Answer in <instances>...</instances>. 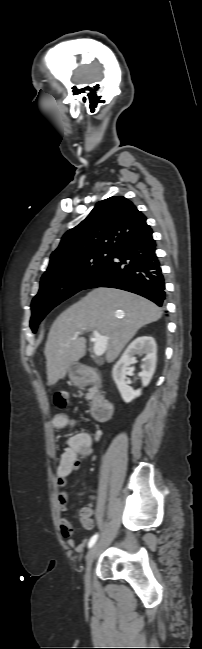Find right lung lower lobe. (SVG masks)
<instances>
[{"label": "right lung lower lobe", "instance_id": "obj_1", "mask_svg": "<svg viewBox=\"0 0 202 649\" xmlns=\"http://www.w3.org/2000/svg\"><path fill=\"white\" fill-rule=\"evenodd\" d=\"M155 250L151 228L126 240L83 290L96 287L118 288L139 294L162 306L165 283Z\"/></svg>", "mask_w": 202, "mask_h": 649}]
</instances>
